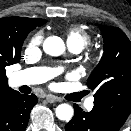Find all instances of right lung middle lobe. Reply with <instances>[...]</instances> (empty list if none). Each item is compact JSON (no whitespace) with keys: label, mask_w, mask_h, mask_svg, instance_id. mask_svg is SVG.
Masks as SVG:
<instances>
[{"label":"right lung middle lobe","mask_w":131,"mask_h":131,"mask_svg":"<svg viewBox=\"0 0 131 131\" xmlns=\"http://www.w3.org/2000/svg\"><path fill=\"white\" fill-rule=\"evenodd\" d=\"M37 25L34 24H30V25H25L22 26L18 32L17 35V41H16V50H17V56L15 58H9L8 59V65L14 64V63H18L20 61L21 58V47L23 44V41L25 40V38L27 37V35L29 34V32L31 30H33L34 28H36Z\"/></svg>","instance_id":"dd1d6c3e"}]
</instances>
